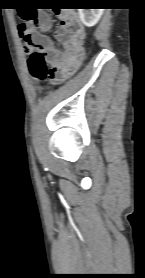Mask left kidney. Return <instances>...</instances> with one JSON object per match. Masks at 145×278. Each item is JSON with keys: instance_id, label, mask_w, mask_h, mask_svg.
Masks as SVG:
<instances>
[{"instance_id": "5707ae66", "label": "left kidney", "mask_w": 145, "mask_h": 278, "mask_svg": "<svg viewBox=\"0 0 145 278\" xmlns=\"http://www.w3.org/2000/svg\"><path fill=\"white\" fill-rule=\"evenodd\" d=\"M80 19L87 27H93L100 19L104 9H78Z\"/></svg>"}]
</instances>
